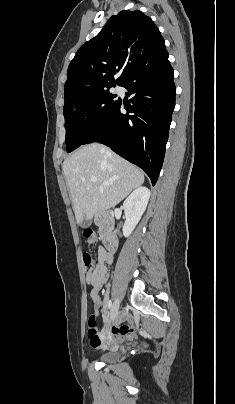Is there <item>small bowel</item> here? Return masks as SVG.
<instances>
[{"label": "small bowel", "mask_w": 235, "mask_h": 404, "mask_svg": "<svg viewBox=\"0 0 235 404\" xmlns=\"http://www.w3.org/2000/svg\"><path fill=\"white\" fill-rule=\"evenodd\" d=\"M112 262L113 254L103 246H99L98 262L94 269L86 275V282L91 286L89 294L94 302V309L104 322V327L100 332L97 328L95 333L88 329V338L93 348L114 349L135 333L131 323L134 320L131 313L124 310L120 314L118 321H112L108 308L103 306V302L99 296L102 287L108 280L109 265ZM122 321L127 322L122 323Z\"/></svg>", "instance_id": "1"}]
</instances>
